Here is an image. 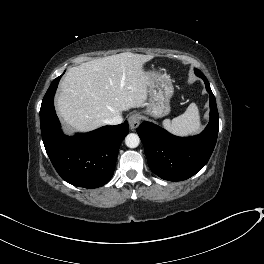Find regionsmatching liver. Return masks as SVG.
Instances as JSON below:
<instances>
[{
  "mask_svg": "<svg viewBox=\"0 0 264 264\" xmlns=\"http://www.w3.org/2000/svg\"><path fill=\"white\" fill-rule=\"evenodd\" d=\"M151 55L124 52L68 70L60 83L56 110L74 131L89 132L123 111L145 105Z\"/></svg>",
  "mask_w": 264,
  "mask_h": 264,
  "instance_id": "1",
  "label": "liver"
}]
</instances>
